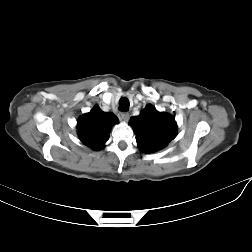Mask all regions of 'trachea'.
<instances>
[{
    "label": "trachea",
    "mask_w": 252,
    "mask_h": 252,
    "mask_svg": "<svg viewBox=\"0 0 252 252\" xmlns=\"http://www.w3.org/2000/svg\"><path fill=\"white\" fill-rule=\"evenodd\" d=\"M129 109V100L126 97H123L119 101V110L126 112Z\"/></svg>",
    "instance_id": "3493384b"
}]
</instances>
